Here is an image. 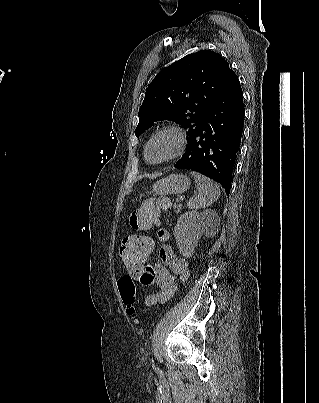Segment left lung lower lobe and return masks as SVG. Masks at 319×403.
I'll return each mask as SVG.
<instances>
[{
	"label": "left lung lower lobe",
	"instance_id": "1",
	"mask_svg": "<svg viewBox=\"0 0 319 403\" xmlns=\"http://www.w3.org/2000/svg\"><path fill=\"white\" fill-rule=\"evenodd\" d=\"M244 114L242 89L231 69L189 141L185 154L174 167L210 177L220 183L228 195L241 142Z\"/></svg>",
	"mask_w": 319,
	"mask_h": 403
}]
</instances>
